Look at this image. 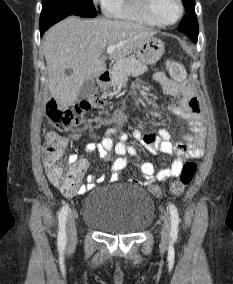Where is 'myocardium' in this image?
<instances>
[{
	"instance_id": "f54148a6",
	"label": "myocardium",
	"mask_w": 233,
	"mask_h": 284,
	"mask_svg": "<svg viewBox=\"0 0 233 284\" xmlns=\"http://www.w3.org/2000/svg\"><path fill=\"white\" fill-rule=\"evenodd\" d=\"M179 6V13L176 19L172 22H164L162 21L156 14L154 10V0H144V8L147 14L153 19L159 26H172L179 22L184 14V5L182 0H176Z\"/></svg>"
}]
</instances>
